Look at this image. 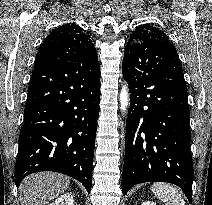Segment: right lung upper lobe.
I'll use <instances>...</instances> for the list:
<instances>
[{"label": "right lung upper lobe", "instance_id": "obj_1", "mask_svg": "<svg viewBox=\"0 0 212 205\" xmlns=\"http://www.w3.org/2000/svg\"><path fill=\"white\" fill-rule=\"evenodd\" d=\"M96 49L90 36L72 23L59 26L43 41L34 68L63 62L97 61Z\"/></svg>", "mask_w": 212, "mask_h": 205}]
</instances>
